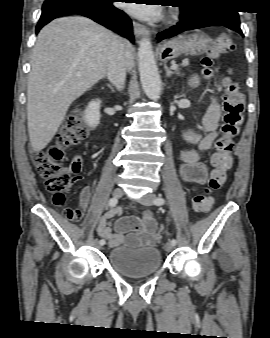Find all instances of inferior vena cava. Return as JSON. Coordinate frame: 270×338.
Wrapping results in <instances>:
<instances>
[{"mask_svg": "<svg viewBox=\"0 0 270 338\" xmlns=\"http://www.w3.org/2000/svg\"><path fill=\"white\" fill-rule=\"evenodd\" d=\"M126 69L127 59L125 40L115 36L110 44L107 77L119 91L124 88Z\"/></svg>", "mask_w": 270, "mask_h": 338, "instance_id": "602c4592", "label": "inferior vena cava"}]
</instances>
